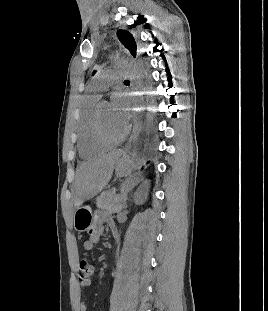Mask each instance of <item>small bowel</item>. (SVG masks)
Returning <instances> with one entry per match:
<instances>
[{"label":"small bowel","mask_w":268,"mask_h":311,"mask_svg":"<svg viewBox=\"0 0 268 311\" xmlns=\"http://www.w3.org/2000/svg\"><path fill=\"white\" fill-rule=\"evenodd\" d=\"M109 226L114 233H117V226L115 222L107 214H99L96 217V222L91 230V234L88 239L83 242V248L86 251L94 249L95 245L99 242L100 237L104 231L105 226ZM91 285L90 278H81L79 286L82 289H86ZM79 311H86V306L83 300H80L78 304Z\"/></svg>","instance_id":"obj_1"}]
</instances>
